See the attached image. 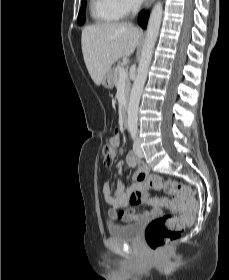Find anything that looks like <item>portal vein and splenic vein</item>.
<instances>
[{"mask_svg":"<svg viewBox=\"0 0 229 280\" xmlns=\"http://www.w3.org/2000/svg\"><path fill=\"white\" fill-rule=\"evenodd\" d=\"M120 73V80H125L128 76L127 71L124 68L119 70Z\"/></svg>","mask_w":229,"mask_h":280,"instance_id":"18ae733b","label":"portal vein and splenic vein"}]
</instances>
